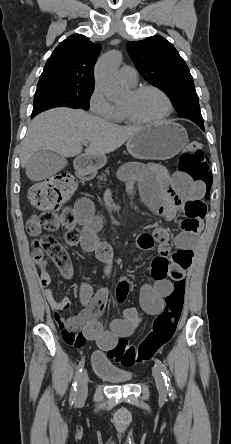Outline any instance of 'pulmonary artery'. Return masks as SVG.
Segmentation results:
<instances>
[{
  "mask_svg": "<svg viewBox=\"0 0 231 444\" xmlns=\"http://www.w3.org/2000/svg\"><path fill=\"white\" fill-rule=\"evenodd\" d=\"M119 76L121 81L129 86H134L138 80L136 69L130 66H123Z\"/></svg>",
  "mask_w": 231,
  "mask_h": 444,
  "instance_id": "e3ab8cb5",
  "label": "pulmonary artery"
}]
</instances>
